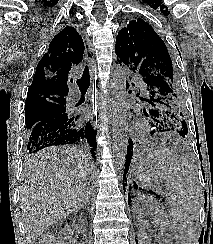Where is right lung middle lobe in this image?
Segmentation results:
<instances>
[{
  "label": "right lung middle lobe",
  "mask_w": 213,
  "mask_h": 244,
  "mask_svg": "<svg viewBox=\"0 0 213 244\" xmlns=\"http://www.w3.org/2000/svg\"><path fill=\"white\" fill-rule=\"evenodd\" d=\"M62 113H66L65 96L42 94L27 97L25 103L26 134H28L38 122Z\"/></svg>",
  "instance_id": "right-lung-middle-lobe-1"
}]
</instances>
